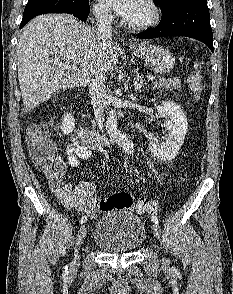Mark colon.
Listing matches in <instances>:
<instances>
[{
    "mask_svg": "<svg viewBox=\"0 0 233 294\" xmlns=\"http://www.w3.org/2000/svg\"><path fill=\"white\" fill-rule=\"evenodd\" d=\"M188 86L191 94L197 99L202 92V75L199 65L190 74ZM27 143L31 157L43 171L54 181L60 182L63 174L61 161L54 157V146L46 136L41 125L34 124L27 129ZM90 206L94 210L107 211L116 208L132 209L137 213H155L157 203L142 198L134 202L130 194L121 192L109 196L106 199L92 200Z\"/></svg>",
    "mask_w": 233,
    "mask_h": 294,
    "instance_id": "colon-1",
    "label": "colon"
}]
</instances>
